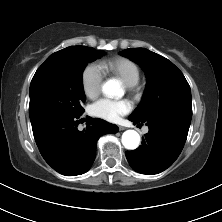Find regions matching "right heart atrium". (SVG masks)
<instances>
[{
    "label": "right heart atrium",
    "instance_id": "obj_1",
    "mask_svg": "<svg viewBox=\"0 0 222 222\" xmlns=\"http://www.w3.org/2000/svg\"><path fill=\"white\" fill-rule=\"evenodd\" d=\"M104 73L97 63H89L81 75L82 88L85 95L89 98L97 96L102 87Z\"/></svg>",
    "mask_w": 222,
    "mask_h": 222
}]
</instances>
